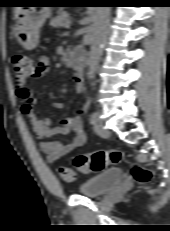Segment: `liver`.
<instances>
[{
	"instance_id": "liver-1",
	"label": "liver",
	"mask_w": 170,
	"mask_h": 231,
	"mask_svg": "<svg viewBox=\"0 0 170 231\" xmlns=\"http://www.w3.org/2000/svg\"><path fill=\"white\" fill-rule=\"evenodd\" d=\"M23 11L22 7H16L14 10V18H18V16L20 15V13Z\"/></svg>"
}]
</instances>
